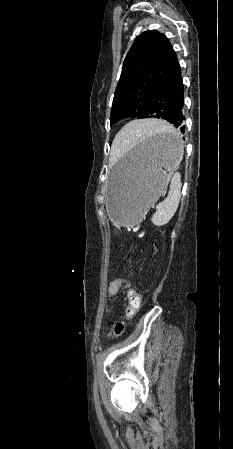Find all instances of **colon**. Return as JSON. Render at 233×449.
Instances as JSON below:
<instances>
[{
    "mask_svg": "<svg viewBox=\"0 0 233 449\" xmlns=\"http://www.w3.org/2000/svg\"><path fill=\"white\" fill-rule=\"evenodd\" d=\"M125 285L127 287L128 299L126 307V318L132 319L140 308V296L138 292L121 277H114L107 285V292L109 297L118 296L120 294L121 287ZM125 329L124 323H118L115 328L114 334L120 336Z\"/></svg>",
    "mask_w": 233,
    "mask_h": 449,
    "instance_id": "5ec220e1",
    "label": "colon"
}]
</instances>
